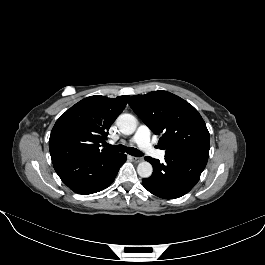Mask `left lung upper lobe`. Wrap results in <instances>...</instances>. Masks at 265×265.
Instances as JSON below:
<instances>
[{"label": "left lung upper lobe", "mask_w": 265, "mask_h": 265, "mask_svg": "<svg viewBox=\"0 0 265 265\" xmlns=\"http://www.w3.org/2000/svg\"><path fill=\"white\" fill-rule=\"evenodd\" d=\"M130 107L155 134L166 154L210 144L209 132L199 112L184 99L167 91L134 95Z\"/></svg>", "instance_id": "5c2ea615"}]
</instances>
